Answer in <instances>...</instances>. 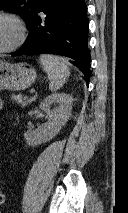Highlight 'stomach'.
Returning a JSON list of instances; mask_svg holds the SVG:
<instances>
[{
    "label": "stomach",
    "instance_id": "obj_1",
    "mask_svg": "<svg viewBox=\"0 0 128 213\" xmlns=\"http://www.w3.org/2000/svg\"><path fill=\"white\" fill-rule=\"evenodd\" d=\"M35 69L28 63H8L0 60V89L13 91L28 88L36 79Z\"/></svg>",
    "mask_w": 128,
    "mask_h": 213
}]
</instances>
